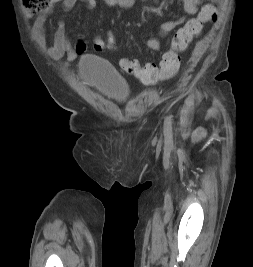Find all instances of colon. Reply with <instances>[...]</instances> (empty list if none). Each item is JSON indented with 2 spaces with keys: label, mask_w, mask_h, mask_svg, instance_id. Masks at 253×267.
I'll use <instances>...</instances> for the list:
<instances>
[{
  "label": "colon",
  "mask_w": 253,
  "mask_h": 267,
  "mask_svg": "<svg viewBox=\"0 0 253 267\" xmlns=\"http://www.w3.org/2000/svg\"><path fill=\"white\" fill-rule=\"evenodd\" d=\"M58 1L60 0H22V6L29 11L41 12ZM217 1L219 0H212V2ZM216 17V7L213 4H205L196 17L189 19L175 32L171 49L164 54L158 66L148 64L141 67L135 59L122 58L120 60L122 69L145 83H154L175 76L181 63L180 53L185 51L192 40L202 32L205 24L214 21ZM93 48L97 52L105 50L120 51V47L112 32H109L106 36L95 38Z\"/></svg>",
  "instance_id": "1"
}]
</instances>
